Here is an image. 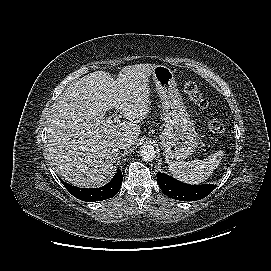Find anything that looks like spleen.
Instances as JSON below:
<instances>
[{
	"instance_id": "obj_1",
	"label": "spleen",
	"mask_w": 271,
	"mask_h": 271,
	"mask_svg": "<svg viewBox=\"0 0 271 271\" xmlns=\"http://www.w3.org/2000/svg\"><path fill=\"white\" fill-rule=\"evenodd\" d=\"M223 155L224 152L219 150L202 160L170 162L168 169L174 177L187 184H200L212 175Z\"/></svg>"
}]
</instances>
